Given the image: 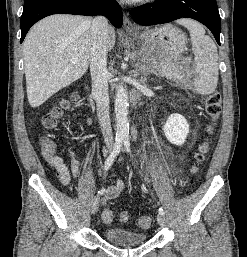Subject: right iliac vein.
Wrapping results in <instances>:
<instances>
[{
	"instance_id": "1",
	"label": "right iliac vein",
	"mask_w": 247,
	"mask_h": 257,
	"mask_svg": "<svg viewBox=\"0 0 247 257\" xmlns=\"http://www.w3.org/2000/svg\"><path fill=\"white\" fill-rule=\"evenodd\" d=\"M99 199L100 198H99L98 195L91 198V200L89 202V207H90L91 214H95L98 211Z\"/></svg>"
}]
</instances>
